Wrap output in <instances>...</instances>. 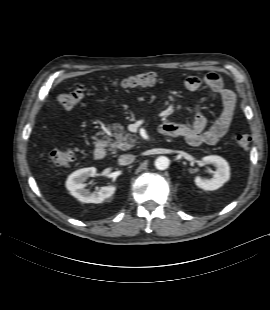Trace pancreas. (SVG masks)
Here are the masks:
<instances>
[{"label": "pancreas", "mask_w": 270, "mask_h": 310, "mask_svg": "<svg viewBox=\"0 0 270 310\" xmlns=\"http://www.w3.org/2000/svg\"><path fill=\"white\" fill-rule=\"evenodd\" d=\"M108 128L113 132L112 136L114 139H112V142L109 144L113 151L118 149L125 151L131 149L134 146L136 139L134 138V135L124 131V126L119 123H114Z\"/></svg>", "instance_id": "cf45deb5"}]
</instances>
